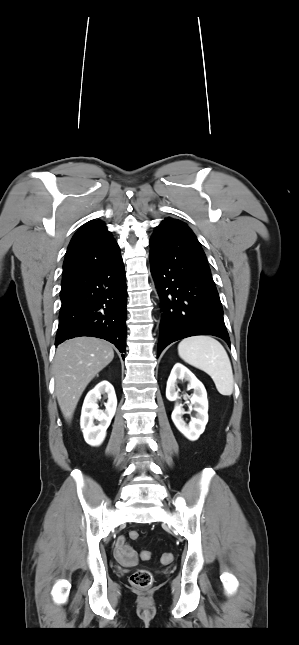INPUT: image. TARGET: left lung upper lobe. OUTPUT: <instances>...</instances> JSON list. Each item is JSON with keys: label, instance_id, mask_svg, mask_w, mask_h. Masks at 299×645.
Here are the masks:
<instances>
[{"label": "left lung upper lobe", "instance_id": "5c2ea615", "mask_svg": "<svg viewBox=\"0 0 299 645\" xmlns=\"http://www.w3.org/2000/svg\"><path fill=\"white\" fill-rule=\"evenodd\" d=\"M169 219H170V218H167V219H165L164 221L169 220Z\"/></svg>", "mask_w": 299, "mask_h": 645}]
</instances>
